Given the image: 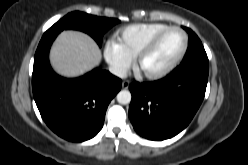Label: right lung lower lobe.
<instances>
[{"instance_id":"right-lung-lower-lobe-1","label":"right lung lower lobe","mask_w":248,"mask_h":165,"mask_svg":"<svg viewBox=\"0 0 248 165\" xmlns=\"http://www.w3.org/2000/svg\"><path fill=\"white\" fill-rule=\"evenodd\" d=\"M57 35L42 38L34 57L33 95L48 127L60 137L82 142L103 127L110 101L121 89V80L99 68L82 77L58 76L49 64V49Z\"/></svg>"}]
</instances>
